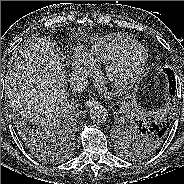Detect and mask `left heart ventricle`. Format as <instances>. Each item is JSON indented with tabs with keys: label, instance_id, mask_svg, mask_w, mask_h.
Wrapping results in <instances>:
<instances>
[{
	"label": "left heart ventricle",
	"instance_id": "1",
	"mask_svg": "<svg viewBox=\"0 0 184 184\" xmlns=\"http://www.w3.org/2000/svg\"><path fill=\"white\" fill-rule=\"evenodd\" d=\"M140 56L141 54L138 52L132 54L130 58L126 61V63L123 65V67H121L115 72V77H121L126 74V72L129 71L137 63Z\"/></svg>",
	"mask_w": 184,
	"mask_h": 184
}]
</instances>
